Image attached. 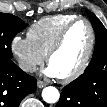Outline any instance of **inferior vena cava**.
<instances>
[{
    "instance_id": "602c4592",
    "label": "inferior vena cava",
    "mask_w": 107,
    "mask_h": 107,
    "mask_svg": "<svg viewBox=\"0 0 107 107\" xmlns=\"http://www.w3.org/2000/svg\"><path fill=\"white\" fill-rule=\"evenodd\" d=\"M19 67L25 72H34L37 70L36 65L27 62H20Z\"/></svg>"
}]
</instances>
